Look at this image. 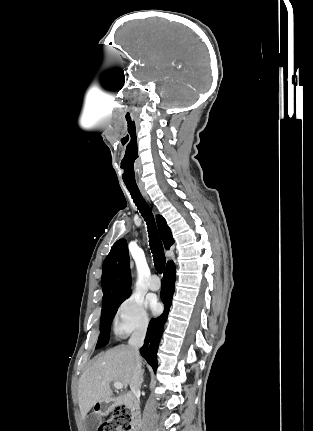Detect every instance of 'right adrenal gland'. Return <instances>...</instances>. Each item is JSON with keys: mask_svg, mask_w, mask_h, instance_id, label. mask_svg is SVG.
Returning a JSON list of instances; mask_svg holds the SVG:
<instances>
[{"mask_svg": "<svg viewBox=\"0 0 313 431\" xmlns=\"http://www.w3.org/2000/svg\"><path fill=\"white\" fill-rule=\"evenodd\" d=\"M144 369L141 371V377H140V385L144 382Z\"/></svg>", "mask_w": 313, "mask_h": 431, "instance_id": "1", "label": "right adrenal gland"}]
</instances>
